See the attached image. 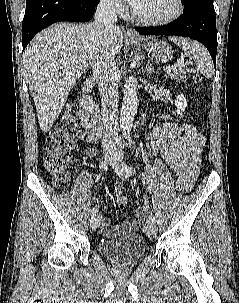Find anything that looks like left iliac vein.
<instances>
[{
  "label": "left iliac vein",
  "instance_id": "obj_1",
  "mask_svg": "<svg viewBox=\"0 0 239 303\" xmlns=\"http://www.w3.org/2000/svg\"><path fill=\"white\" fill-rule=\"evenodd\" d=\"M112 167L117 173L119 177L126 180L128 179L130 173L129 170H127L124 166V164L121 162L119 158H115L114 162L112 163ZM144 232L149 238H154L157 234V227L155 223L152 221H147L144 226Z\"/></svg>",
  "mask_w": 239,
  "mask_h": 303
}]
</instances>
